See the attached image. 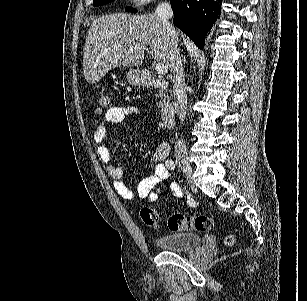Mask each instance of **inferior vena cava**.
<instances>
[{
  "instance_id": "inferior-vena-cava-1",
  "label": "inferior vena cava",
  "mask_w": 307,
  "mask_h": 301,
  "mask_svg": "<svg viewBox=\"0 0 307 301\" xmlns=\"http://www.w3.org/2000/svg\"><path fill=\"white\" fill-rule=\"evenodd\" d=\"M155 16H159L160 20L163 22V26H166L169 36L174 44L171 60H172V70H173V96L177 112L179 114L181 124H184L187 112V94L185 92V78H184V68L179 52L177 48L178 32L169 22V18L173 16V10L170 2L164 0V2H159L155 8ZM174 153L176 157H185L187 155L186 140L181 132L179 138H177L174 146Z\"/></svg>"
}]
</instances>
